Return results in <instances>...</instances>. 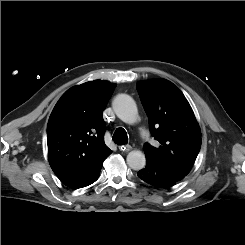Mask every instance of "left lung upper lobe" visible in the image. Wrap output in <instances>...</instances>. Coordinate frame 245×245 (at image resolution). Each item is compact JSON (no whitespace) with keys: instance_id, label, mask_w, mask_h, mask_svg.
<instances>
[{"instance_id":"1","label":"left lung upper lobe","mask_w":245,"mask_h":245,"mask_svg":"<svg viewBox=\"0 0 245 245\" xmlns=\"http://www.w3.org/2000/svg\"><path fill=\"white\" fill-rule=\"evenodd\" d=\"M149 119L150 132L159 147L144 144L146 161L187 176L201 148V131L194 112L181 90L165 79L137 83Z\"/></svg>"}]
</instances>
